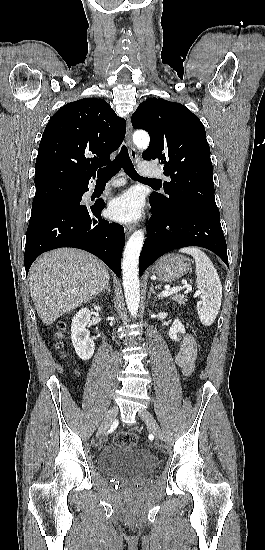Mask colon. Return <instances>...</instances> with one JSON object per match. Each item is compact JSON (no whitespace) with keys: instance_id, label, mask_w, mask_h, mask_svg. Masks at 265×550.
<instances>
[{"instance_id":"colon-1","label":"colon","mask_w":265,"mask_h":550,"mask_svg":"<svg viewBox=\"0 0 265 550\" xmlns=\"http://www.w3.org/2000/svg\"><path fill=\"white\" fill-rule=\"evenodd\" d=\"M66 329V323L60 322L58 324V336L62 334V332ZM137 436L136 434L132 432H119L114 437L115 444L122 445V446H128L133 447L137 444Z\"/></svg>"}]
</instances>
